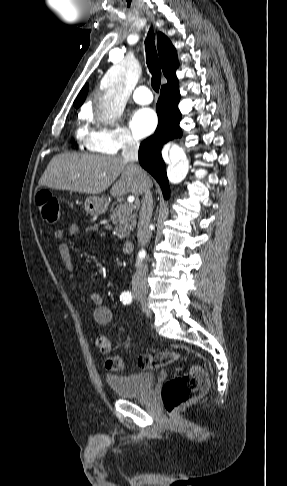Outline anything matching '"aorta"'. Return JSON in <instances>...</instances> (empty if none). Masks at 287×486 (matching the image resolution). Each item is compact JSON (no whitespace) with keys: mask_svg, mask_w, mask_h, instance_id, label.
I'll list each match as a JSON object with an SVG mask.
<instances>
[{"mask_svg":"<svg viewBox=\"0 0 287 486\" xmlns=\"http://www.w3.org/2000/svg\"><path fill=\"white\" fill-rule=\"evenodd\" d=\"M130 90V82L124 74L113 73L107 78L104 88L95 98L94 111L99 121L114 122L123 112L125 98ZM172 163L168 167L167 176L170 183L178 184L188 173V162L182 149L173 145L170 149ZM145 251L139 252L140 259L145 257Z\"/></svg>","mask_w":287,"mask_h":486,"instance_id":"aorta-1","label":"aorta"}]
</instances>
